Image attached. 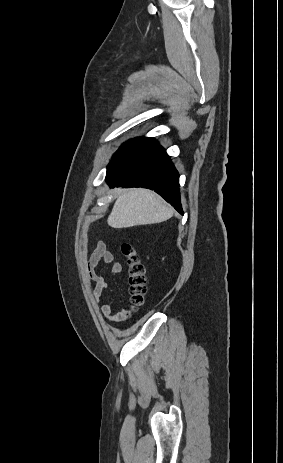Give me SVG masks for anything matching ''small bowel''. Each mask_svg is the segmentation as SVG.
<instances>
[{
    "instance_id": "small-bowel-1",
    "label": "small bowel",
    "mask_w": 283,
    "mask_h": 463,
    "mask_svg": "<svg viewBox=\"0 0 283 463\" xmlns=\"http://www.w3.org/2000/svg\"><path fill=\"white\" fill-rule=\"evenodd\" d=\"M100 262L110 264L112 272L115 274L122 272V264L114 261L112 252L107 249L103 241H98L94 250L90 254L86 262V270L89 278L94 283L92 290L93 299L99 302L103 291L108 287V282L104 277L96 273V268ZM125 310L114 313V304L112 302L105 303L101 307V314L108 320L116 321L123 317Z\"/></svg>"
}]
</instances>
